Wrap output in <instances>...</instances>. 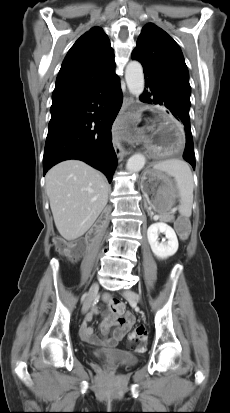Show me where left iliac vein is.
Listing matches in <instances>:
<instances>
[{
	"label": "left iliac vein",
	"mask_w": 230,
	"mask_h": 413,
	"mask_svg": "<svg viewBox=\"0 0 230 413\" xmlns=\"http://www.w3.org/2000/svg\"><path fill=\"white\" fill-rule=\"evenodd\" d=\"M124 296H125L129 301H137V302L141 301L140 295L137 294V293L134 292V291L128 290V291L124 292Z\"/></svg>",
	"instance_id": "4c4485c4"
}]
</instances>
